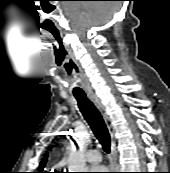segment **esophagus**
I'll return each mask as SVG.
<instances>
[{
    "instance_id": "1",
    "label": "esophagus",
    "mask_w": 170,
    "mask_h": 173,
    "mask_svg": "<svg viewBox=\"0 0 170 173\" xmlns=\"http://www.w3.org/2000/svg\"><path fill=\"white\" fill-rule=\"evenodd\" d=\"M87 95H88L89 99L97 107V109L100 111V113L102 114V116L105 120V123L108 127V130H109V133H110V136H111L110 165H111V168L114 169L115 166H116L117 151H116V144H115V138H114V129H113L111 120H110L108 114L106 113L105 107L103 106V104L99 100L98 96L96 94H94L93 92H88Z\"/></svg>"
}]
</instances>
